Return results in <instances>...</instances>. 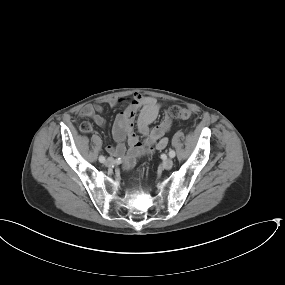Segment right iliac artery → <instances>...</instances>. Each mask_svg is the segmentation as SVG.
Listing matches in <instances>:
<instances>
[{"label":"right iliac artery","mask_w":285,"mask_h":285,"mask_svg":"<svg viewBox=\"0 0 285 285\" xmlns=\"http://www.w3.org/2000/svg\"><path fill=\"white\" fill-rule=\"evenodd\" d=\"M119 160H120V159L117 160V163H119ZM99 161H100L101 163H103V162L105 161V157L101 155V156L99 157Z\"/></svg>","instance_id":"obj_1"}]
</instances>
